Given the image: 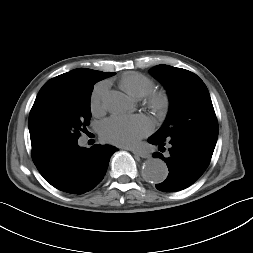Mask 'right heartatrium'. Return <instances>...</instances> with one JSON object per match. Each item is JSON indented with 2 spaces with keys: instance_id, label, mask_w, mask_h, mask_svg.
<instances>
[{
  "instance_id": "right-heart-atrium-1",
  "label": "right heart atrium",
  "mask_w": 253,
  "mask_h": 253,
  "mask_svg": "<svg viewBox=\"0 0 253 253\" xmlns=\"http://www.w3.org/2000/svg\"><path fill=\"white\" fill-rule=\"evenodd\" d=\"M107 90V84L101 82L97 84L91 94L90 106L93 112H98L102 109L103 99Z\"/></svg>"
}]
</instances>
